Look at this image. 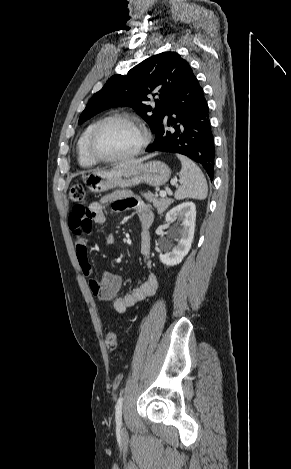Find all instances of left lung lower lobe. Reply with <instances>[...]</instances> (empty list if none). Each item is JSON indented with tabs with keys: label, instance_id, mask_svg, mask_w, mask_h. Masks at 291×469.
Masks as SVG:
<instances>
[{
	"label": "left lung lower lobe",
	"instance_id": "1",
	"mask_svg": "<svg viewBox=\"0 0 291 469\" xmlns=\"http://www.w3.org/2000/svg\"><path fill=\"white\" fill-rule=\"evenodd\" d=\"M172 127L173 129H170ZM147 152L179 153L199 163L214 177L215 145L203 89L192 70L167 105L165 118Z\"/></svg>",
	"mask_w": 291,
	"mask_h": 469
}]
</instances>
